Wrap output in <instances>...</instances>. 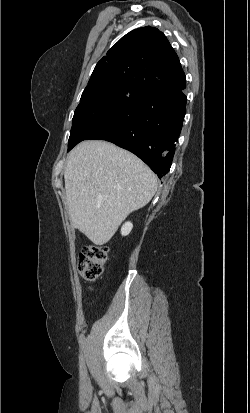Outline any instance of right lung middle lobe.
Instances as JSON below:
<instances>
[{"label": "right lung middle lobe", "mask_w": 250, "mask_h": 413, "mask_svg": "<svg viewBox=\"0 0 250 413\" xmlns=\"http://www.w3.org/2000/svg\"><path fill=\"white\" fill-rule=\"evenodd\" d=\"M140 94L138 90L123 85L86 88L74 113L68 151L111 121L129 101Z\"/></svg>", "instance_id": "right-lung-middle-lobe-1"}]
</instances>
